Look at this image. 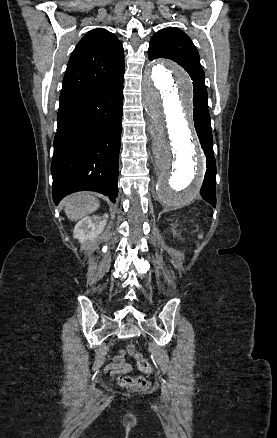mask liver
Segmentation results:
<instances>
[{
  "label": "liver",
  "mask_w": 277,
  "mask_h": 438,
  "mask_svg": "<svg viewBox=\"0 0 277 438\" xmlns=\"http://www.w3.org/2000/svg\"><path fill=\"white\" fill-rule=\"evenodd\" d=\"M100 206L99 200L88 194V192H80V194H72L68 200H65V214L68 220L77 222L88 214L96 212Z\"/></svg>",
  "instance_id": "1"
}]
</instances>
